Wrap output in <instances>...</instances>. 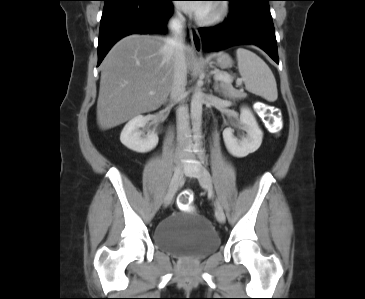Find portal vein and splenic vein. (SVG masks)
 <instances>
[{"instance_id":"obj_1","label":"portal vein and splenic vein","mask_w":365,"mask_h":299,"mask_svg":"<svg viewBox=\"0 0 365 299\" xmlns=\"http://www.w3.org/2000/svg\"><path fill=\"white\" fill-rule=\"evenodd\" d=\"M215 79L219 81L229 82L231 83L232 78L228 74H215ZM150 95H154V92H150Z\"/></svg>"}]
</instances>
